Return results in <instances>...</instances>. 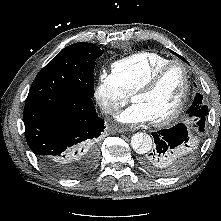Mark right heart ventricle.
Listing matches in <instances>:
<instances>
[{
  "label": "right heart ventricle",
  "instance_id": "obj_1",
  "mask_svg": "<svg viewBox=\"0 0 221 221\" xmlns=\"http://www.w3.org/2000/svg\"><path fill=\"white\" fill-rule=\"evenodd\" d=\"M170 59L153 51H142L115 61L112 73L127 93L132 94L159 67Z\"/></svg>",
  "mask_w": 221,
  "mask_h": 221
}]
</instances>
